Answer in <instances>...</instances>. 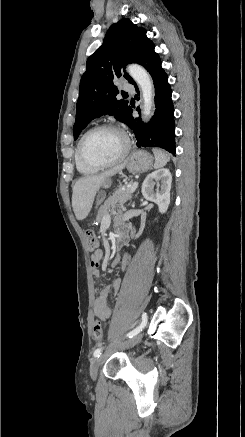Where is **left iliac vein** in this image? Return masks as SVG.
<instances>
[{
    "label": "left iliac vein",
    "instance_id": "obj_1",
    "mask_svg": "<svg viewBox=\"0 0 245 437\" xmlns=\"http://www.w3.org/2000/svg\"><path fill=\"white\" fill-rule=\"evenodd\" d=\"M141 337H142V333L140 332V333L136 334L134 337H132L131 339L120 344L119 348L132 347L140 341ZM103 359H104V356H99V357L95 358L90 365V376L93 380H95L97 377L98 369H99V366L102 363Z\"/></svg>",
    "mask_w": 245,
    "mask_h": 437
}]
</instances>
